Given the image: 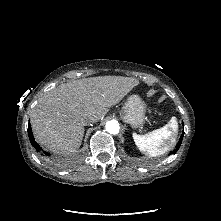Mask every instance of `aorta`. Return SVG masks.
<instances>
[{
  "label": "aorta",
  "instance_id": "aorta-1",
  "mask_svg": "<svg viewBox=\"0 0 221 221\" xmlns=\"http://www.w3.org/2000/svg\"><path fill=\"white\" fill-rule=\"evenodd\" d=\"M106 131L110 134H118L120 127L116 121H108L105 125Z\"/></svg>",
  "mask_w": 221,
  "mask_h": 221
}]
</instances>
